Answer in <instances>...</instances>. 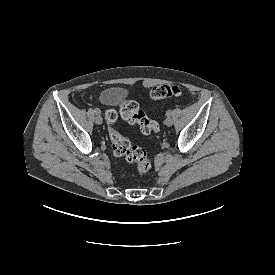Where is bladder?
I'll use <instances>...</instances> for the list:
<instances>
[{"instance_id":"obj_1","label":"bladder","mask_w":275,"mask_h":275,"mask_svg":"<svg viewBox=\"0 0 275 275\" xmlns=\"http://www.w3.org/2000/svg\"><path fill=\"white\" fill-rule=\"evenodd\" d=\"M99 100L104 106L117 105L123 101V90L119 87H109L99 95Z\"/></svg>"}]
</instances>
